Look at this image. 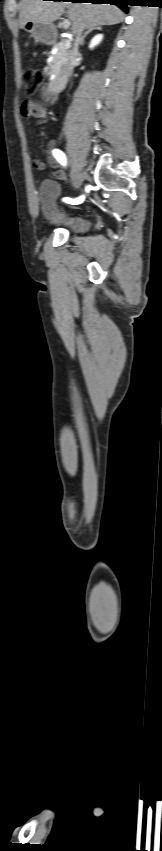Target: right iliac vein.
Instances as JSON below:
<instances>
[{
	"mask_svg": "<svg viewBox=\"0 0 162 851\" xmlns=\"http://www.w3.org/2000/svg\"><path fill=\"white\" fill-rule=\"evenodd\" d=\"M78 172H79V169H78V168H75V169L72 171V174H73V177H74V178H73V185H74V187H75L76 189H78V188L81 186V183H82V179H81V177H79V173H78Z\"/></svg>",
	"mask_w": 162,
	"mask_h": 851,
	"instance_id": "obj_1",
	"label": "right iliac vein"
}]
</instances>
